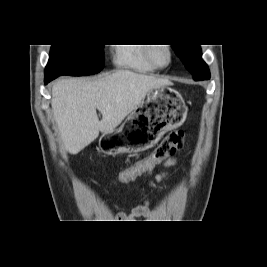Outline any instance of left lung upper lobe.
Here are the masks:
<instances>
[{
  "label": "left lung upper lobe",
  "instance_id": "5c2ea615",
  "mask_svg": "<svg viewBox=\"0 0 267 267\" xmlns=\"http://www.w3.org/2000/svg\"><path fill=\"white\" fill-rule=\"evenodd\" d=\"M175 53L185 64L195 81L210 79V71L202 59L200 45H172Z\"/></svg>",
  "mask_w": 267,
  "mask_h": 267
}]
</instances>
